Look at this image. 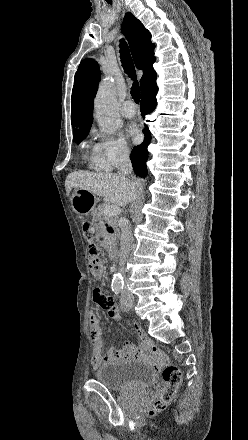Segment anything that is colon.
<instances>
[{
    "label": "colon",
    "instance_id": "colon-1",
    "mask_svg": "<svg viewBox=\"0 0 248 440\" xmlns=\"http://www.w3.org/2000/svg\"><path fill=\"white\" fill-rule=\"evenodd\" d=\"M89 223H85V235L88 239L91 238V232L89 230ZM99 249L97 246L91 244L89 246V264L90 268L94 275L102 276L103 275V264L99 258ZM96 295L99 297H103V295L96 291ZM164 387L161 392V396L158 401L154 404L151 414L159 412L163 410L166 405L172 400L174 397L180 383L182 380L181 371L173 365H168L164 368L163 373Z\"/></svg>",
    "mask_w": 248,
    "mask_h": 440
}]
</instances>
